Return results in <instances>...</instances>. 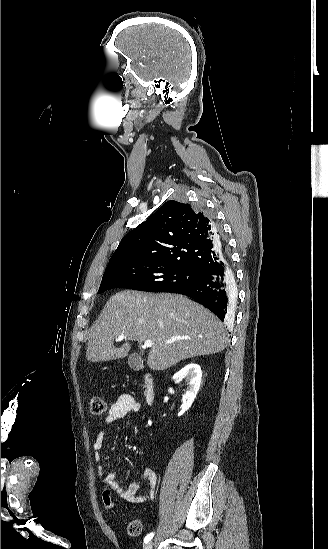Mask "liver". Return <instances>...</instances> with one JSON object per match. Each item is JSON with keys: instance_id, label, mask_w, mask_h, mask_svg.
Here are the masks:
<instances>
[{"instance_id": "6515ba94", "label": "liver", "mask_w": 328, "mask_h": 549, "mask_svg": "<svg viewBox=\"0 0 328 549\" xmlns=\"http://www.w3.org/2000/svg\"><path fill=\"white\" fill-rule=\"evenodd\" d=\"M119 335H125L126 343L117 349L114 339ZM171 337L182 339L165 345ZM129 341H152L147 365L164 371L184 359L223 351L228 337L218 317L184 295L120 291L90 327L86 357L90 363L124 359L131 349Z\"/></svg>"}]
</instances>
